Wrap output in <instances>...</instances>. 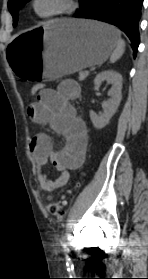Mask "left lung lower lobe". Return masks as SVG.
Here are the masks:
<instances>
[{
	"label": "left lung lower lobe",
	"instance_id": "left-lung-lower-lobe-1",
	"mask_svg": "<svg viewBox=\"0 0 148 279\" xmlns=\"http://www.w3.org/2000/svg\"><path fill=\"white\" fill-rule=\"evenodd\" d=\"M143 0H80L76 18L96 19L113 24L126 33L132 42L134 56L140 43L138 24Z\"/></svg>",
	"mask_w": 148,
	"mask_h": 279
}]
</instances>
